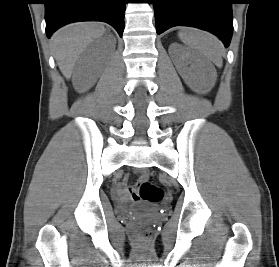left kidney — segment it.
Here are the masks:
<instances>
[{
    "mask_svg": "<svg viewBox=\"0 0 279 267\" xmlns=\"http://www.w3.org/2000/svg\"><path fill=\"white\" fill-rule=\"evenodd\" d=\"M190 59V66L185 63ZM174 65L185 81L195 92L202 93L209 91L212 86V79L209 73V64L202 60L196 53L180 48L174 59Z\"/></svg>",
    "mask_w": 279,
    "mask_h": 267,
    "instance_id": "obj_1",
    "label": "left kidney"
}]
</instances>
